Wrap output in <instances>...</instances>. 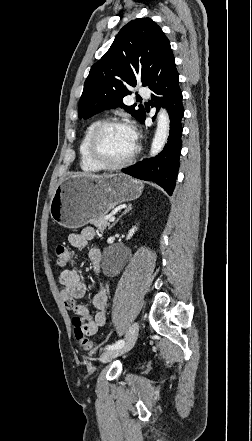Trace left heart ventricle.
<instances>
[{"mask_svg":"<svg viewBox=\"0 0 252 441\" xmlns=\"http://www.w3.org/2000/svg\"><path fill=\"white\" fill-rule=\"evenodd\" d=\"M135 139L130 128L110 126L98 138V154L107 162L117 163L125 159L134 149Z\"/></svg>","mask_w":252,"mask_h":441,"instance_id":"b2bd125f","label":"left heart ventricle"}]
</instances>
